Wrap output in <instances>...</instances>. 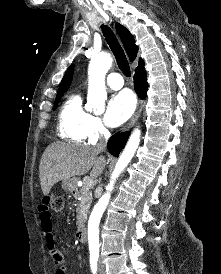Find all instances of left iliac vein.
I'll return each instance as SVG.
<instances>
[{
  "mask_svg": "<svg viewBox=\"0 0 221 274\" xmlns=\"http://www.w3.org/2000/svg\"><path fill=\"white\" fill-rule=\"evenodd\" d=\"M99 274H105L104 267L101 261H99Z\"/></svg>",
  "mask_w": 221,
  "mask_h": 274,
  "instance_id": "left-iliac-vein-1",
  "label": "left iliac vein"
}]
</instances>
